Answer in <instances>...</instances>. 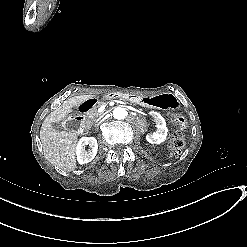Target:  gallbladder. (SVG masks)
<instances>
[{
  "instance_id": "bac80fb5",
  "label": "gallbladder",
  "mask_w": 247,
  "mask_h": 247,
  "mask_svg": "<svg viewBox=\"0 0 247 247\" xmlns=\"http://www.w3.org/2000/svg\"><path fill=\"white\" fill-rule=\"evenodd\" d=\"M55 132H61V127L58 123L54 124Z\"/></svg>"
}]
</instances>
